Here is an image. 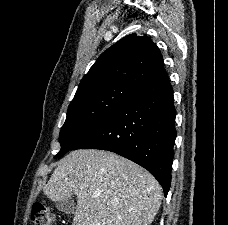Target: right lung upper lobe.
I'll return each mask as SVG.
<instances>
[{
	"label": "right lung upper lobe",
	"mask_w": 228,
	"mask_h": 225,
	"mask_svg": "<svg viewBox=\"0 0 228 225\" xmlns=\"http://www.w3.org/2000/svg\"><path fill=\"white\" fill-rule=\"evenodd\" d=\"M163 70V58L156 44L147 36L130 34L100 55L82 78L74 99L88 88L110 82H124L140 89Z\"/></svg>",
	"instance_id": "1"
}]
</instances>
